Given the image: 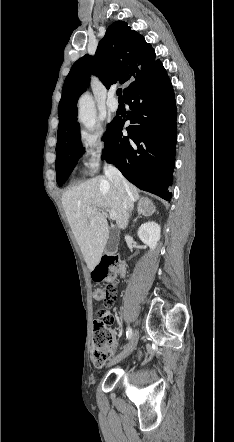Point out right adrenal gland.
Instances as JSON below:
<instances>
[{
  "label": "right adrenal gland",
  "instance_id": "right-adrenal-gland-1",
  "mask_svg": "<svg viewBox=\"0 0 234 442\" xmlns=\"http://www.w3.org/2000/svg\"><path fill=\"white\" fill-rule=\"evenodd\" d=\"M144 202H145V203H149V204L153 207V209H155V207L152 205V203H151L150 200H148L147 198H143V197H142V198L140 199V201H139L138 208H137V210H138V216L134 219L133 223L137 222V220H138L139 218H141L142 215H144L143 210H142V204H143Z\"/></svg>",
  "mask_w": 234,
  "mask_h": 442
}]
</instances>
